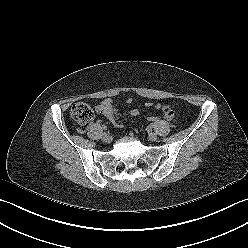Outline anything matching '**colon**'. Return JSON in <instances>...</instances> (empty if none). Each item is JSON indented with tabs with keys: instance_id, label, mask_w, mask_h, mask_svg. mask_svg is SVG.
<instances>
[{
	"instance_id": "5ec220e1",
	"label": "colon",
	"mask_w": 248,
	"mask_h": 248,
	"mask_svg": "<svg viewBox=\"0 0 248 248\" xmlns=\"http://www.w3.org/2000/svg\"><path fill=\"white\" fill-rule=\"evenodd\" d=\"M70 116L79 125H85L94 117L93 108L88 103L77 102L71 107ZM158 120L159 117L156 115H151L148 117V121L150 122H156Z\"/></svg>"
}]
</instances>
